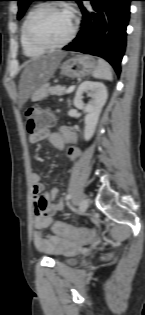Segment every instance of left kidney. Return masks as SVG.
<instances>
[{
	"mask_svg": "<svg viewBox=\"0 0 145 315\" xmlns=\"http://www.w3.org/2000/svg\"><path fill=\"white\" fill-rule=\"evenodd\" d=\"M83 94H87L92 97L88 104H84ZM107 97V88L100 82L84 81L79 85L76 91L73 102L74 106L80 110H84L86 113L84 119V138L86 141L90 140L95 133L99 116L106 103Z\"/></svg>",
	"mask_w": 145,
	"mask_h": 315,
	"instance_id": "obj_1",
	"label": "left kidney"
}]
</instances>
